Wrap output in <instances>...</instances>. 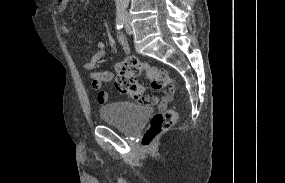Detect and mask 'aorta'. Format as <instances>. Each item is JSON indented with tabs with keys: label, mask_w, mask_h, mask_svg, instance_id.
<instances>
[{
	"label": "aorta",
	"mask_w": 285,
	"mask_h": 183,
	"mask_svg": "<svg viewBox=\"0 0 285 183\" xmlns=\"http://www.w3.org/2000/svg\"><path fill=\"white\" fill-rule=\"evenodd\" d=\"M117 9H125L128 6L129 0H115Z\"/></svg>",
	"instance_id": "762f6f07"
}]
</instances>
